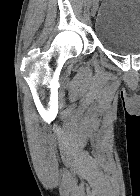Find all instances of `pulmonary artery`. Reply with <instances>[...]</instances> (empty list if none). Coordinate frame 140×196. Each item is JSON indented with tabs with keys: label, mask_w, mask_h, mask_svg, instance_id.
Instances as JSON below:
<instances>
[{
	"label": "pulmonary artery",
	"mask_w": 140,
	"mask_h": 196,
	"mask_svg": "<svg viewBox=\"0 0 140 196\" xmlns=\"http://www.w3.org/2000/svg\"><path fill=\"white\" fill-rule=\"evenodd\" d=\"M60 192H82V191H60Z\"/></svg>",
	"instance_id": "e3ab8cb5"
}]
</instances>
